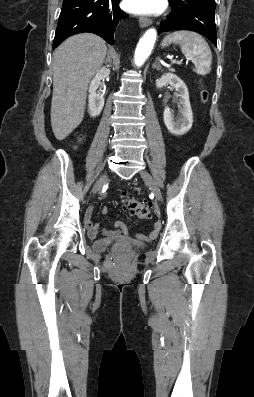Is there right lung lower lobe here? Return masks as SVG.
Masks as SVG:
<instances>
[{"mask_svg": "<svg viewBox=\"0 0 254 397\" xmlns=\"http://www.w3.org/2000/svg\"><path fill=\"white\" fill-rule=\"evenodd\" d=\"M128 15L119 8V0H64L53 48L71 35L91 32L114 44L118 24Z\"/></svg>", "mask_w": 254, "mask_h": 397, "instance_id": "right-lung-lower-lobe-1", "label": "right lung lower lobe"}]
</instances>
